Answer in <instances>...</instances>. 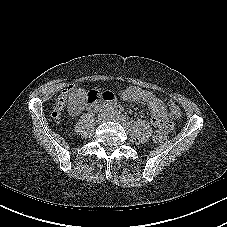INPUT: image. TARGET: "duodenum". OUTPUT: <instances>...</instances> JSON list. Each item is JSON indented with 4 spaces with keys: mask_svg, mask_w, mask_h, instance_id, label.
Segmentation results:
<instances>
[{
    "mask_svg": "<svg viewBox=\"0 0 227 227\" xmlns=\"http://www.w3.org/2000/svg\"><path fill=\"white\" fill-rule=\"evenodd\" d=\"M86 101L93 109H99L102 107H107V108L115 107V100L113 95L102 94L98 90L90 91L86 96Z\"/></svg>",
    "mask_w": 227,
    "mask_h": 227,
    "instance_id": "1",
    "label": "duodenum"
}]
</instances>
